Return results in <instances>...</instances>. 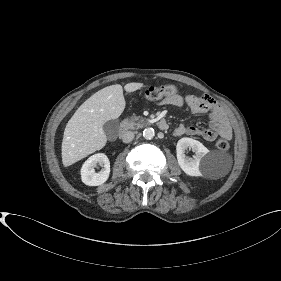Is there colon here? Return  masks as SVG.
<instances>
[{
	"label": "colon",
	"instance_id": "5ec220e1",
	"mask_svg": "<svg viewBox=\"0 0 281 281\" xmlns=\"http://www.w3.org/2000/svg\"><path fill=\"white\" fill-rule=\"evenodd\" d=\"M175 94V87L172 85L165 86H152L144 90L142 96L148 101H158L164 96H170ZM216 147L221 151L229 149L230 144L227 139L220 138L216 141Z\"/></svg>",
	"mask_w": 281,
	"mask_h": 281
}]
</instances>
